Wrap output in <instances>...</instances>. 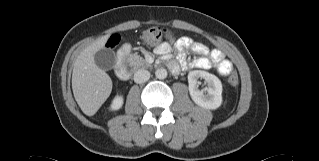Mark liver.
<instances>
[{
  "label": "liver",
  "mask_w": 319,
  "mask_h": 161,
  "mask_svg": "<svg viewBox=\"0 0 319 161\" xmlns=\"http://www.w3.org/2000/svg\"><path fill=\"white\" fill-rule=\"evenodd\" d=\"M108 38L109 35L102 36L87 46L74 62L73 94L82 112L88 116L98 111L112 91L110 76L94 60L95 53L104 48Z\"/></svg>",
  "instance_id": "liver-1"
}]
</instances>
